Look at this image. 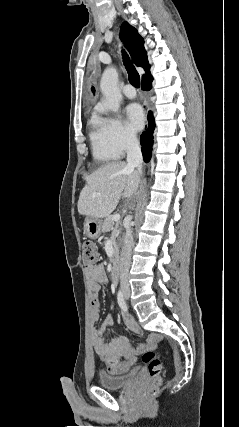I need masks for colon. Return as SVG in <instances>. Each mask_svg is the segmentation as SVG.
<instances>
[{"label": "colon", "instance_id": "colon-1", "mask_svg": "<svg viewBox=\"0 0 239 427\" xmlns=\"http://www.w3.org/2000/svg\"><path fill=\"white\" fill-rule=\"evenodd\" d=\"M83 251V263L87 267L93 266L98 260V253L96 247L91 242H86L82 248ZM142 360L148 365L149 375L151 377V384L145 391L144 395H152L161 382V375L163 372L162 363L157 358L155 352L147 351L142 355Z\"/></svg>", "mask_w": 239, "mask_h": 427}]
</instances>
